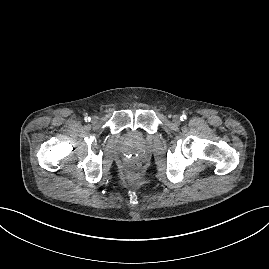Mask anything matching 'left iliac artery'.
I'll return each instance as SVG.
<instances>
[{
  "mask_svg": "<svg viewBox=\"0 0 269 269\" xmlns=\"http://www.w3.org/2000/svg\"><path fill=\"white\" fill-rule=\"evenodd\" d=\"M187 119V116L185 115V114H183L182 116H181V121H185Z\"/></svg>",
  "mask_w": 269,
  "mask_h": 269,
  "instance_id": "1",
  "label": "left iliac artery"
}]
</instances>
